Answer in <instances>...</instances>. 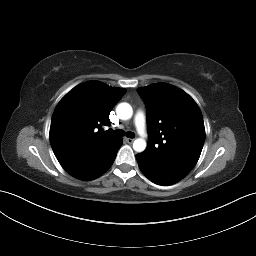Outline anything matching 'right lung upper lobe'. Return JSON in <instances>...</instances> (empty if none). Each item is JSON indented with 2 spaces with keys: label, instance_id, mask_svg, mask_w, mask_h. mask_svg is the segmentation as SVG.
I'll return each mask as SVG.
<instances>
[{
  "label": "right lung upper lobe",
  "instance_id": "cb5924a9",
  "mask_svg": "<svg viewBox=\"0 0 256 256\" xmlns=\"http://www.w3.org/2000/svg\"><path fill=\"white\" fill-rule=\"evenodd\" d=\"M126 93L99 81L73 88L55 108L50 127V143L62 167L87 159L120 140L111 130V109Z\"/></svg>",
  "mask_w": 256,
  "mask_h": 256
}]
</instances>
